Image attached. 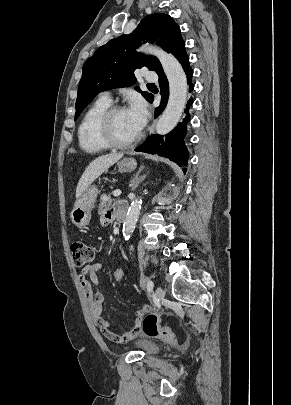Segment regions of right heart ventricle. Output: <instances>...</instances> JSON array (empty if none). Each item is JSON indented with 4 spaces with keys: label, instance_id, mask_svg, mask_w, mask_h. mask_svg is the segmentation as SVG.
<instances>
[{
    "label": "right heart ventricle",
    "instance_id": "right-heart-ventricle-1",
    "mask_svg": "<svg viewBox=\"0 0 291 405\" xmlns=\"http://www.w3.org/2000/svg\"><path fill=\"white\" fill-rule=\"evenodd\" d=\"M109 107V102L98 99L85 111L77 131L79 145L84 152L97 154L110 148L102 141L98 131L100 118Z\"/></svg>",
    "mask_w": 291,
    "mask_h": 405
}]
</instances>
